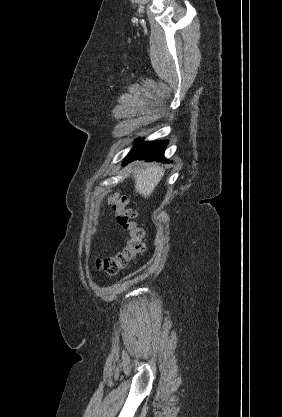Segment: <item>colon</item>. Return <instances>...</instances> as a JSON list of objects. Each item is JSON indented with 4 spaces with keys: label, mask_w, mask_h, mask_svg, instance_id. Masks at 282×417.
<instances>
[{
    "label": "colon",
    "mask_w": 282,
    "mask_h": 417,
    "mask_svg": "<svg viewBox=\"0 0 282 417\" xmlns=\"http://www.w3.org/2000/svg\"><path fill=\"white\" fill-rule=\"evenodd\" d=\"M109 202L117 213L118 223L126 231L125 244L122 251L115 256L97 259L96 267L107 274H114L136 262L138 256L143 253L144 231L137 224L136 213L133 209L128 208L127 197L121 191L118 190L111 194Z\"/></svg>",
    "instance_id": "5ec220e1"
}]
</instances>
